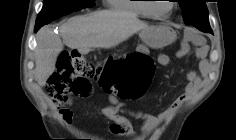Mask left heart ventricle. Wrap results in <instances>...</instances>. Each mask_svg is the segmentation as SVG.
I'll return each mask as SVG.
<instances>
[{
	"mask_svg": "<svg viewBox=\"0 0 236 140\" xmlns=\"http://www.w3.org/2000/svg\"><path fill=\"white\" fill-rule=\"evenodd\" d=\"M170 4H171V2L157 1L154 4V9L159 14H165V13H167L169 11Z\"/></svg>",
	"mask_w": 236,
	"mask_h": 140,
	"instance_id": "1",
	"label": "left heart ventricle"
}]
</instances>
